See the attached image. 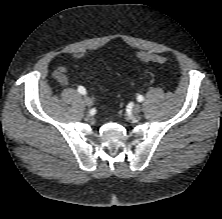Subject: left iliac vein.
Here are the masks:
<instances>
[{"label": "left iliac vein", "mask_w": 222, "mask_h": 219, "mask_svg": "<svg viewBox=\"0 0 222 219\" xmlns=\"http://www.w3.org/2000/svg\"><path fill=\"white\" fill-rule=\"evenodd\" d=\"M133 114L137 115L141 112V106L139 104H135L132 108Z\"/></svg>", "instance_id": "left-iliac-vein-1"}]
</instances>
